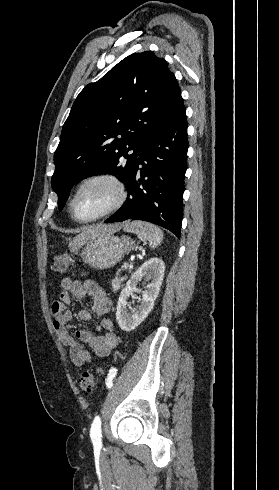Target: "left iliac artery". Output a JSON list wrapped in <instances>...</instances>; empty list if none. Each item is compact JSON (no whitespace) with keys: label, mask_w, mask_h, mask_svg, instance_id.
<instances>
[{"label":"left iliac artery","mask_w":279,"mask_h":490,"mask_svg":"<svg viewBox=\"0 0 279 490\" xmlns=\"http://www.w3.org/2000/svg\"><path fill=\"white\" fill-rule=\"evenodd\" d=\"M117 374V369L116 368H111L109 370L107 379H106V386L108 388H111L113 385V378ZM90 437L93 443V446L95 449L100 450L102 447V433H101V420L100 417L97 416L93 420V423L91 425V430H90Z\"/></svg>","instance_id":"obj_1"}]
</instances>
